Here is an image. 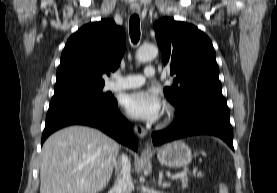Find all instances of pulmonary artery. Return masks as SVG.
I'll return each instance as SVG.
<instances>
[{"label":"pulmonary artery","instance_id":"obj_1","mask_svg":"<svg viewBox=\"0 0 277 193\" xmlns=\"http://www.w3.org/2000/svg\"><path fill=\"white\" fill-rule=\"evenodd\" d=\"M156 75V70L152 66H148L144 70V74H130L125 77L115 76V78L108 82L106 88L112 91L125 90L136 88L145 83L146 78H152Z\"/></svg>","mask_w":277,"mask_h":193}]
</instances>
